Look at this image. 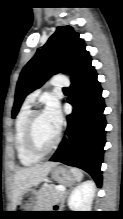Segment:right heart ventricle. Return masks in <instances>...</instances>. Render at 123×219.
I'll return each mask as SVG.
<instances>
[{"label":"right heart ventricle","mask_w":123,"mask_h":219,"mask_svg":"<svg viewBox=\"0 0 123 219\" xmlns=\"http://www.w3.org/2000/svg\"><path fill=\"white\" fill-rule=\"evenodd\" d=\"M31 112V105L25 103L20 109L15 122L14 144L18 160L23 166H32L39 161V158L33 156L27 150L25 143L26 124Z\"/></svg>","instance_id":"1"}]
</instances>
